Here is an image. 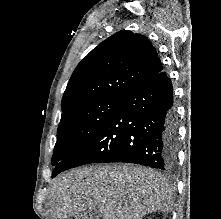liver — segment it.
Instances as JSON below:
<instances>
[{
  "label": "liver",
  "instance_id": "obj_1",
  "mask_svg": "<svg viewBox=\"0 0 221 219\" xmlns=\"http://www.w3.org/2000/svg\"><path fill=\"white\" fill-rule=\"evenodd\" d=\"M173 197L161 174L130 164L78 168L60 175L51 190V214L69 219L98 208L102 219H142L169 213Z\"/></svg>",
  "mask_w": 221,
  "mask_h": 219
}]
</instances>
